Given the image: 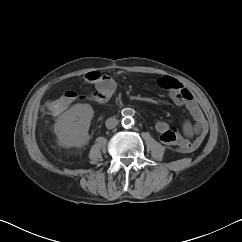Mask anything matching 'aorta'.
Listing matches in <instances>:
<instances>
[{
  "label": "aorta",
  "mask_w": 242,
  "mask_h": 242,
  "mask_svg": "<svg viewBox=\"0 0 242 242\" xmlns=\"http://www.w3.org/2000/svg\"><path fill=\"white\" fill-rule=\"evenodd\" d=\"M133 115H134V110L131 108H126L122 111V126L127 128L130 127L132 124H134V119H133Z\"/></svg>",
  "instance_id": "aorta-1"
}]
</instances>
